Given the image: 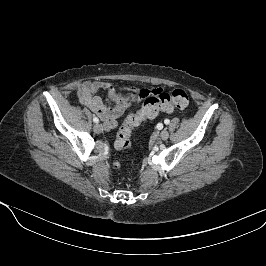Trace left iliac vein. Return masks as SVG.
Returning <instances> with one entry per match:
<instances>
[{
	"label": "left iliac vein",
	"instance_id": "obj_1",
	"mask_svg": "<svg viewBox=\"0 0 266 266\" xmlns=\"http://www.w3.org/2000/svg\"><path fill=\"white\" fill-rule=\"evenodd\" d=\"M160 137H161L162 140H167L168 137H169V132H168L166 129H164V130L161 132Z\"/></svg>",
	"mask_w": 266,
	"mask_h": 266
}]
</instances>
